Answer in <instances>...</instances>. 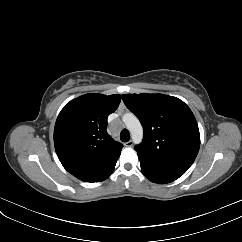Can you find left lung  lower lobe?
Masks as SVG:
<instances>
[{
  "label": "left lung lower lobe",
  "instance_id": "obj_1",
  "mask_svg": "<svg viewBox=\"0 0 242 242\" xmlns=\"http://www.w3.org/2000/svg\"><path fill=\"white\" fill-rule=\"evenodd\" d=\"M140 164H141V170L144 176L154 183H159V184L169 183L178 179L180 176L183 175L175 172L150 168L144 165L142 162H140Z\"/></svg>",
  "mask_w": 242,
  "mask_h": 242
}]
</instances>
